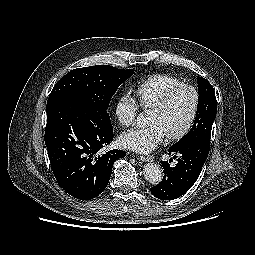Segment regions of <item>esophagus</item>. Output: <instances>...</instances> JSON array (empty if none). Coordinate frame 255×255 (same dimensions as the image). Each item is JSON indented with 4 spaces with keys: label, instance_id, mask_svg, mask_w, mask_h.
Instances as JSON below:
<instances>
[{
    "label": "esophagus",
    "instance_id": "1",
    "mask_svg": "<svg viewBox=\"0 0 255 255\" xmlns=\"http://www.w3.org/2000/svg\"><path fill=\"white\" fill-rule=\"evenodd\" d=\"M139 159L144 162H153L154 161V157L151 155H141V156H139Z\"/></svg>",
    "mask_w": 255,
    "mask_h": 255
}]
</instances>
